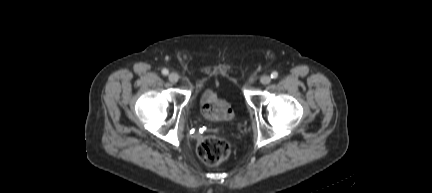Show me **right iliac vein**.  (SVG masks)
Wrapping results in <instances>:
<instances>
[{"instance_id":"1","label":"right iliac vein","mask_w":432,"mask_h":193,"mask_svg":"<svg viewBox=\"0 0 432 193\" xmlns=\"http://www.w3.org/2000/svg\"><path fill=\"white\" fill-rule=\"evenodd\" d=\"M168 79H169V81H170L171 83L175 84V83H177L179 77H178V75H177L176 73H170V74L168 75Z\"/></svg>"}]
</instances>
